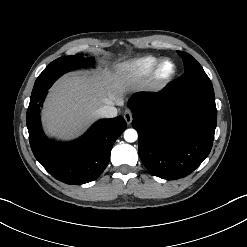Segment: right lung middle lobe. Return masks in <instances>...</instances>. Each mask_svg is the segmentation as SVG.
I'll use <instances>...</instances> for the list:
<instances>
[{
  "mask_svg": "<svg viewBox=\"0 0 247 247\" xmlns=\"http://www.w3.org/2000/svg\"><path fill=\"white\" fill-rule=\"evenodd\" d=\"M94 64V58H83V54L74 56H63L51 62L44 71L38 76L30 98V103L38 101L46 94L52 84L64 73L84 64Z\"/></svg>",
  "mask_w": 247,
  "mask_h": 247,
  "instance_id": "obj_1",
  "label": "right lung middle lobe"
}]
</instances>
